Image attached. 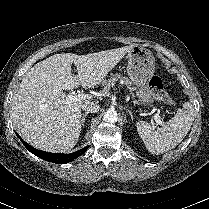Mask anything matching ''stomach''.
<instances>
[{
  "label": "stomach",
  "instance_id": "0dacf381",
  "mask_svg": "<svg viewBox=\"0 0 209 209\" xmlns=\"http://www.w3.org/2000/svg\"><path fill=\"white\" fill-rule=\"evenodd\" d=\"M127 74L130 83L135 85L137 96L141 104L151 106L153 99L149 87V81L155 71V58L152 52L140 46H133L127 53Z\"/></svg>",
  "mask_w": 209,
  "mask_h": 209
}]
</instances>
